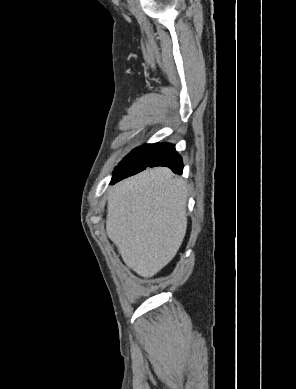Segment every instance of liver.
<instances>
[{
    "label": "liver",
    "instance_id": "1",
    "mask_svg": "<svg viewBox=\"0 0 296 389\" xmlns=\"http://www.w3.org/2000/svg\"><path fill=\"white\" fill-rule=\"evenodd\" d=\"M187 196L185 182L166 167L148 169L111 189L106 232L140 276H154L179 250L187 229Z\"/></svg>",
    "mask_w": 296,
    "mask_h": 389
}]
</instances>
